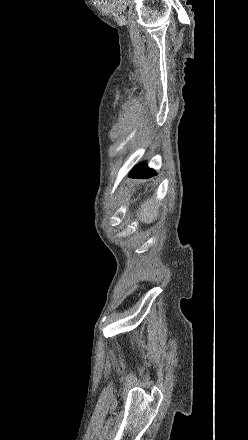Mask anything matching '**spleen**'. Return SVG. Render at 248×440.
Masks as SVG:
<instances>
[{"label": "spleen", "mask_w": 248, "mask_h": 440, "mask_svg": "<svg viewBox=\"0 0 248 440\" xmlns=\"http://www.w3.org/2000/svg\"><path fill=\"white\" fill-rule=\"evenodd\" d=\"M152 205V199H149L145 201L143 204H141V208L139 209V212L137 213V216L141 219L142 222L150 224L153 221H155L158 217V206H151Z\"/></svg>", "instance_id": "obj_1"}]
</instances>
